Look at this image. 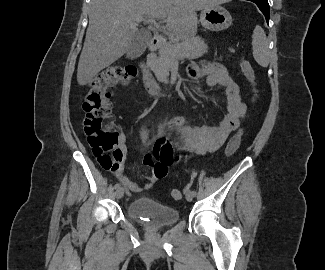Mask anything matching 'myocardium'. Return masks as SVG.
I'll return each instance as SVG.
<instances>
[{
	"mask_svg": "<svg viewBox=\"0 0 325 270\" xmlns=\"http://www.w3.org/2000/svg\"><path fill=\"white\" fill-rule=\"evenodd\" d=\"M215 2H225V1H229V0H214Z\"/></svg>",
	"mask_w": 325,
	"mask_h": 270,
	"instance_id": "obj_1",
	"label": "myocardium"
}]
</instances>
